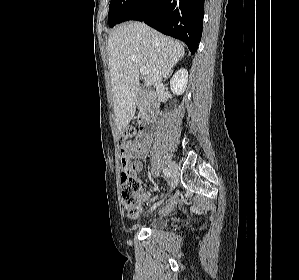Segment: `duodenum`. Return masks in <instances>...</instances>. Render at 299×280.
I'll return each mask as SVG.
<instances>
[{"instance_id": "duodenum-1", "label": "duodenum", "mask_w": 299, "mask_h": 280, "mask_svg": "<svg viewBox=\"0 0 299 280\" xmlns=\"http://www.w3.org/2000/svg\"><path fill=\"white\" fill-rule=\"evenodd\" d=\"M141 104L143 110L141 128L143 132L151 134L155 131L158 122V104L155 94L152 92L143 93Z\"/></svg>"}]
</instances>
